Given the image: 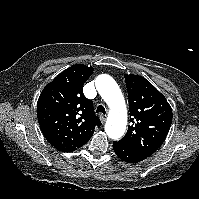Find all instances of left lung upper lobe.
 <instances>
[{
    "label": "left lung upper lobe",
    "mask_w": 199,
    "mask_h": 199,
    "mask_svg": "<svg viewBox=\"0 0 199 199\" xmlns=\"http://www.w3.org/2000/svg\"><path fill=\"white\" fill-rule=\"evenodd\" d=\"M131 125L120 142L149 157L164 142L172 123L166 98L148 80L125 74Z\"/></svg>",
    "instance_id": "5c2ea615"
}]
</instances>
